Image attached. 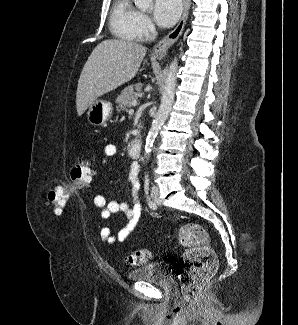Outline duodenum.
Segmentation results:
<instances>
[{"instance_id":"duodenum-1","label":"duodenum","mask_w":298,"mask_h":325,"mask_svg":"<svg viewBox=\"0 0 298 325\" xmlns=\"http://www.w3.org/2000/svg\"><path fill=\"white\" fill-rule=\"evenodd\" d=\"M128 152L133 158H139L142 152V141L138 138L131 140L128 144Z\"/></svg>"}]
</instances>
